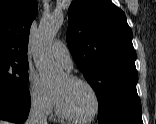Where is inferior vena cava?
I'll list each match as a JSON object with an SVG mask.
<instances>
[{"label":"inferior vena cava","mask_w":156,"mask_h":124,"mask_svg":"<svg viewBox=\"0 0 156 124\" xmlns=\"http://www.w3.org/2000/svg\"><path fill=\"white\" fill-rule=\"evenodd\" d=\"M26 124H48L44 106L40 101H32L30 113Z\"/></svg>","instance_id":"1"}]
</instances>
